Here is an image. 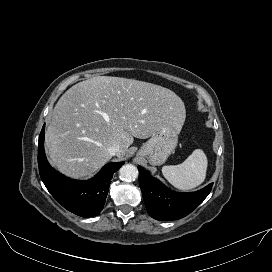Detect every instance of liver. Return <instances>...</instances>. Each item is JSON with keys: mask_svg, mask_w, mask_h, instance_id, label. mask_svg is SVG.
I'll use <instances>...</instances> for the list:
<instances>
[{"mask_svg": "<svg viewBox=\"0 0 272 272\" xmlns=\"http://www.w3.org/2000/svg\"><path fill=\"white\" fill-rule=\"evenodd\" d=\"M184 102L162 86L111 76H97L69 88L58 100L46 129L51 164L71 178L92 175L120 146L123 158L134 137L146 139L163 126L181 130Z\"/></svg>", "mask_w": 272, "mask_h": 272, "instance_id": "obj_1", "label": "liver"}]
</instances>
